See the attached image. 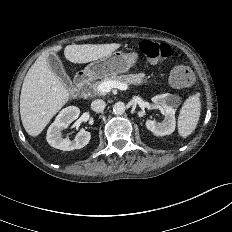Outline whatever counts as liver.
<instances>
[{"instance_id":"1","label":"liver","mask_w":232,"mask_h":232,"mask_svg":"<svg viewBox=\"0 0 232 232\" xmlns=\"http://www.w3.org/2000/svg\"><path fill=\"white\" fill-rule=\"evenodd\" d=\"M121 44L68 45L64 55L72 63H88L104 58ZM61 45L51 48L59 52ZM49 51L43 52L27 72L20 95V115L30 136H38L51 118L68 102L69 92L47 63Z\"/></svg>"}]
</instances>
